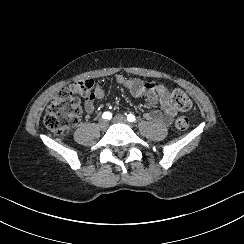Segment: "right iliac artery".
I'll use <instances>...</instances> for the list:
<instances>
[{"instance_id":"82829eb1","label":"right iliac artery","mask_w":244,"mask_h":244,"mask_svg":"<svg viewBox=\"0 0 244 244\" xmlns=\"http://www.w3.org/2000/svg\"><path fill=\"white\" fill-rule=\"evenodd\" d=\"M102 118L110 120L112 118V114L110 112H104Z\"/></svg>"}]
</instances>
